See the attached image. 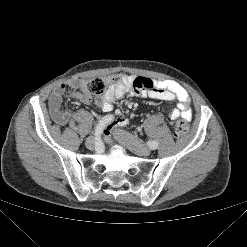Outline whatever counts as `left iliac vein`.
<instances>
[{
	"label": "left iliac vein",
	"mask_w": 247,
	"mask_h": 247,
	"mask_svg": "<svg viewBox=\"0 0 247 247\" xmlns=\"http://www.w3.org/2000/svg\"><path fill=\"white\" fill-rule=\"evenodd\" d=\"M114 136L119 142L131 148L138 155L148 156L151 153V149L141 140L132 137L122 130L115 129Z\"/></svg>",
	"instance_id": "obj_1"
}]
</instances>
